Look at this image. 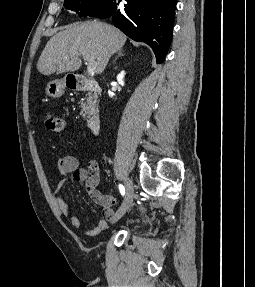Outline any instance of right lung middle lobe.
I'll use <instances>...</instances> for the list:
<instances>
[{
  "label": "right lung middle lobe",
  "mask_w": 255,
  "mask_h": 287,
  "mask_svg": "<svg viewBox=\"0 0 255 287\" xmlns=\"http://www.w3.org/2000/svg\"><path fill=\"white\" fill-rule=\"evenodd\" d=\"M64 4L81 16L97 18L107 17L117 6L116 0H65Z\"/></svg>",
  "instance_id": "dd1d6c3e"
}]
</instances>
